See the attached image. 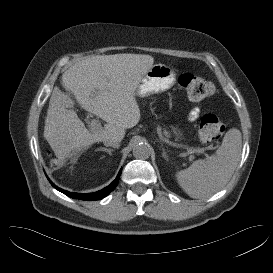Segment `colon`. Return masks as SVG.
I'll return each instance as SVG.
<instances>
[{
  "label": "colon",
  "instance_id": "obj_1",
  "mask_svg": "<svg viewBox=\"0 0 273 273\" xmlns=\"http://www.w3.org/2000/svg\"><path fill=\"white\" fill-rule=\"evenodd\" d=\"M178 83L189 98L193 100L207 98L214 92V85L211 81L191 73H182L178 78ZM224 130L223 121L218 116L207 113L201 118L199 138L203 143H213L222 137ZM60 166L61 163L54 162L55 168Z\"/></svg>",
  "mask_w": 273,
  "mask_h": 273
}]
</instances>
